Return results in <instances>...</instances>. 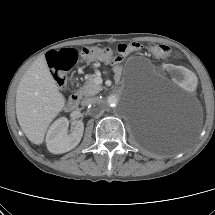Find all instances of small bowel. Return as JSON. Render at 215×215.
I'll list each match as a JSON object with an SVG mask.
<instances>
[{
	"label": "small bowel",
	"mask_w": 215,
	"mask_h": 215,
	"mask_svg": "<svg viewBox=\"0 0 215 215\" xmlns=\"http://www.w3.org/2000/svg\"><path fill=\"white\" fill-rule=\"evenodd\" d=\"M137 46L138 47H137V49L134 52H137V51H139L142 48V46L139 43H137ZM134 52H132V53H134ZM128 54H130V53H128ZM128 54L121 55V56H126ZM119 61H120V58L116 59V62H119ZM120 72H121V67L119 65H117L116 66V74L119 75Z\"/></svg>",
	"instance_id": "obj_1"
}]
</instances>
